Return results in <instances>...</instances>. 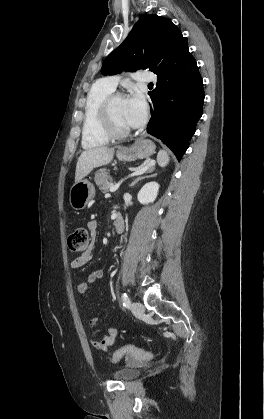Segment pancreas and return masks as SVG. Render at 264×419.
Returning a JSON list of instances; mask_svg holds the SVG:
<instances>
[{
    "label": "pancreas",
    "instance_id": "1",
    "mask_svg": "<svg viewBox=\"0 0 264 419\" xmlns=\"http://www.w3.org/2000/svg\"><path fill=\"white\" fill-rule=\"evenodd\" d=\"M152 167L149 168L147 171H152ZM96 185L102 192H107L110 187L112 186V178L109 172L105 169H101L95 173L94 177Z\"/></svg>",
    "mask_w": 264,
    "mask_h": 419
}]
</instances>
